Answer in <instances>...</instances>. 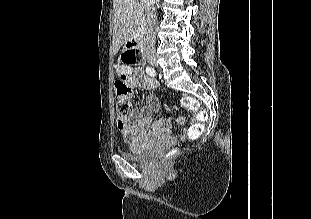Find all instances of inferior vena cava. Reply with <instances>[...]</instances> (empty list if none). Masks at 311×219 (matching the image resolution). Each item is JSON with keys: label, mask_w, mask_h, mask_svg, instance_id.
Returning <instances> with one entry per match:
<instances>
[{"label": "inferior vena cava", "mask_w": 311, "mask_h": 219, "mask_svg": "<svg viewBox=\"0 0 311 219\" xmlns=\"http://www.w3.org/2000/svg\"><path fill=\"white\" fill-rule=\"evenodd\" d=\"M146 11V33L143 42V52L153 51L155 47V25L157 15L155 11V0H143Z\"/></svg>", "instance_id": "602c4592"}]
</instances>
